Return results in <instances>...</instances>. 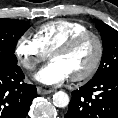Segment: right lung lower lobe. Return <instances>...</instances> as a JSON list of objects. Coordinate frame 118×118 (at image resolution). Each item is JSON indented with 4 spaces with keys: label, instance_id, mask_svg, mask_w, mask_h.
I'll return each mask as SVG.
<instances>
[{
    "label": "right lung lower lobe",
    "instance_id": "98d812e1",
    "mask_svg": "<svg viewBox=\"0 0 118 118\" xmlns=\"http://www.w3.org/2000/svg\"><path fill=\"white\" fill-rule=\"evenodd\" d=\"M19 66H0V118H25L37 94Z\"/></svg>",
    "mask_w": 118,
    "mask_h": 118
}]
</instances>
